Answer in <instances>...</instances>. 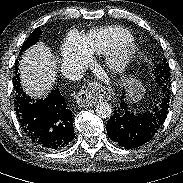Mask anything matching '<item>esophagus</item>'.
I'll return each instance as SVG.
<instances>
[{
    "label": "esophagus",
    "mask_w": 183,
    "mask_h": 183,
    "mask_svg": "<svg viewBox=\"0 0 183 183\" xmlns=\"http://www.w3.org/2000/svg\"><path fill=\"white\" fill-rule=\"evenodd\" d=\"M113 91L110 87L102 86L98 83H91L77 95V103L80 107H91L101 100H110L113 98Z\"/></svg>",
    "instance_id": "34e87169"
}]
</instances>
